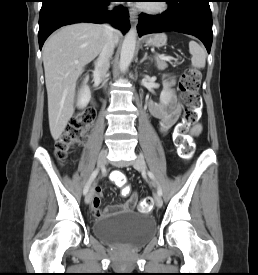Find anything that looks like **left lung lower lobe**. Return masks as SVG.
Here are the masks:
<instances>
[{"instance_id": "left-lung-lower-lobe-1", "label": "left lung lower lobe", "mask_w": 258, "mask_h": 275, "mask_svg": "<svg viewBox=\"0 0 258 275\" xmlns=\"http://www.w3.org/2000/svg\"><path fill=\"white\" fill-rule=\"evenodd\" d=\"M163 14H141L137 26L139 35L177 31L200 39L208 53L213 40L212 14L209 0H168Z\"/></svg>"}]
</instances>
